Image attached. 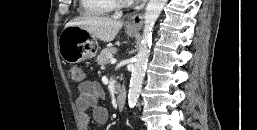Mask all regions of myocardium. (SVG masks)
Segmentation results:
<instances>
[{
	"label": "myocardium",
	"instance_id": "1",
	"mask_svg": "<svg viewBox=\"0 0 257 130\" xmlns=\"http://www.w3.org/2000/svg\"><path fill=\"white\" fill-rule=\"evenodd\" d=\"M114 8L116 9H124L128 8L132 5L131 0H110Z\"/></svg>",
	"mask_w": 257,
	"mask_h": 130
}]
</instances>
